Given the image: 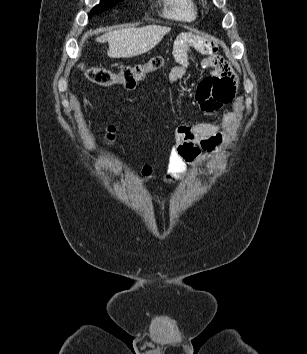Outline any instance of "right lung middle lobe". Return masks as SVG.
<instances>
[{
	"mask_svg": "<svg viewBox=\"0 0 307 354\" xmlns=\"http://www.w3.org/2000/svg\"><path fill=\"white\" fill-rule=\"evenodd\" d=\"M119 1H123V0H101L100 1V4L95 6L90 14H89V18L92 16V15H95V14H98L100 12H102L103 10H106L110 7H113L115 6Z\"/></svg>",
	"mask_w": 307,
	"mask_h": 354,
	"instance_id": "right-lung-middle-lobe-1",
	"label": "right lung middle lobe"
}]
</instances>
